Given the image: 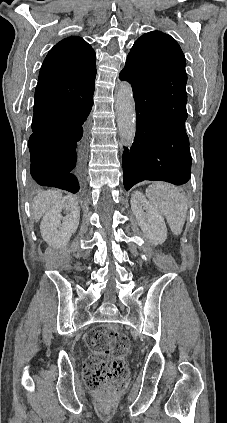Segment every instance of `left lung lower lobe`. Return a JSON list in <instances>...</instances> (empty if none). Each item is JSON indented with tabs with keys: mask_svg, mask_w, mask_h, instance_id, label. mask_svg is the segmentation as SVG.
Listing matches in <instances>:
<instances>
[{
	"mask_svg": "<svg viewBox=\"0 0 227 423\" xmlns=\"http://www.w3.org/2000/svg\"><path fill=\"white\" fill-rule=\"evenodd\" d=\"M136 135L123 152L124 187L143 180L182 185L190 179L191 155L185 130L187 112L163 113L146 102V94L133 89Z\"/></svg>",
	"mask_w": 227,
	"mask_h": 423,
	"instance_id": "1",
	"label": "left lung lower lobe"
}]
</instances>
